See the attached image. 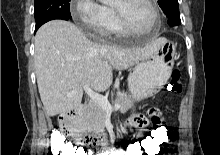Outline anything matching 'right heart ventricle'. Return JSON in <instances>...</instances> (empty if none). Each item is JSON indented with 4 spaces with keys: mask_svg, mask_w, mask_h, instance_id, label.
<instances>
[{
    "mask_svg": "<svg viewBox=\"0 0 220 155\" xmlns=\"http://www.w3.org/2000/svg\"><path fill=\"white\" fill-rule=\"evenodd\" d=\"M107 13L109 16V23H108V29H107V35L116 36V37H122L127 35V33L124 31L122 26L120 25L118 18L115 14L114 9L112 8H106Z\"/></svg>",
    "mask_w": 220,
    "mask_h": 155,
    "instance_id": "obj_1",
    "label": "right heart ventricle"
}]
</instances>
